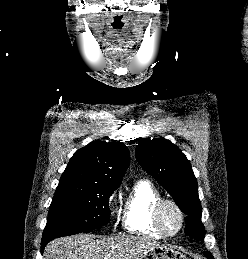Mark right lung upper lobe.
Listing matches in <instances>:
<instances>
[{"instance_id": "cb5924a9", "label": "right lung upper lobe", "mask_w": 248, "mask_h": 259, "mask_svg": "<svg viewBox=\"0 0 248 259\" xmlns=\"http://www.w3.org/2000/svg\"><path fill=\"white\" fill-rule=\"evenodd\" d=\"M129 162V150L123 143L93 141L75 152L61 175L58 187L118 188Z\"/></svg>"}]
</instances>
